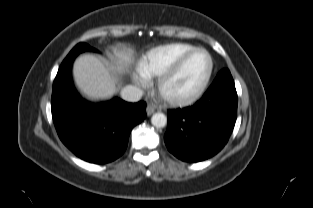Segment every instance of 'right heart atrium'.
<instances>
[{
    "instance_id": "right-heart-atrium-1",
    "label": "right heart atrium",
    "mask_w": 313,
    "mask_h": 208,
    "mask_svg": "<svg viewBox=\"0 0 313 208\" xmlns=\"http://www.w3.org/2000/svg\"><path fill=\"white\" fill-rule=\"evenodd\" d=\"M137 83H138V84H141V81H140V80H137Z\"/></svg>"
}]
</instances>
